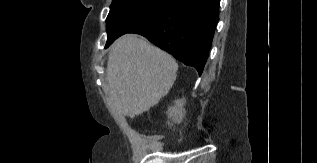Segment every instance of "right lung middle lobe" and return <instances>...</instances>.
<instances>
[{
  "label": "right lung middle lobe",
  "instance_id": "dd1d6c3e",
  "mask_svg": "<svg viewBox=\"0 0 317 163\" xmlns=\"http://www.w3.org/2000/svg\"><path fill=\"white\" fill-rule=\"evenodd\" d=\"M173 0H113L106 19L111 43L119 36L146 23L166 9Z\"/></svg>",
  "mask_w": 317,
  "mask_h": 163
}]
</instances>
